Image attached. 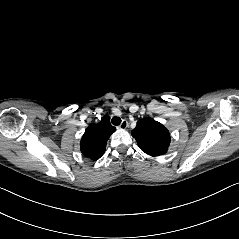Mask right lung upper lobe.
<instances>
[{"label":"right lung upper lobe","instance_id":"1","mask_svg":"<svg viewBox=\"0 0 239 239\" xmlns=\"http://www.w3.org/2000/svg\"><path fill=\"white\" fill-rule=\"evenodd\" d=\"M109 119V116H104L98 125L91 123L86 128L81 138L80 150L87 158L97 160L104 154L107 140L116 130Z\"/></svg>","mask_w":239,"mask_h":239}]
</instances>
